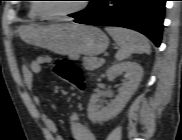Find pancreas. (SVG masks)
Segmentation results:
<instances>
[{"mask_svg": "<svg viewBox=\"0 0 182 140\" xmlns=\"http://www.w3.org/2000/svg\"><path fill=\"white\" fill-rule=\"evenodd\" d=\"M102 62L100 59L96 57H84L83 58V66L86 70L93 71L99 67H101Z\"/></svg>", "mask_w": 182, "mask_h": 140, "instance_id": "obj_1", "label": "pancreas"}]
</instances>
